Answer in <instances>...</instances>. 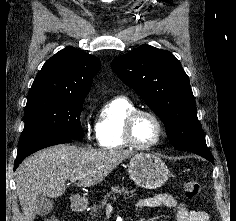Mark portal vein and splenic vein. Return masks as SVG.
Listing matches in <instances>:
<instances>
[{"label": "portal vein and splenic vein", "instance_id": "obj_1", "mask_svg": "<svg viewBox=\"0 0 236 221\" xmlns=\"http://www.w3.org/2000/svg\"><path fill=\"white\" fill-rule=\"evenodd\" d=\"M77 179H78V178H76V177H73V178H71V181H72V182H75ZM106 206H107V207H111V205H110V204H107Z\"/></svg>", "mask_w": 236, "mask_h": 221}]
</instances>
